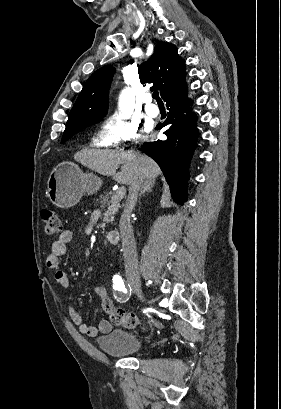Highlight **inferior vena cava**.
Returning <instances> with one entry per match:
<instances>
[{
    "label": "inferior vena cava",
    "instance_id": "602c4592",
    "mask_svg": "<svg viewBox=\"0 0 281 409\" xmlns=\"http://www.w3.org/2000/svg\"><path fill=\"white\" fill-rule=\"evenodd\" d=\"M145 174L142 170L141 162L134 164V176L131 184H129V200H136L139 190L144 182ZM130 209L124 211L120 221V235L122 239V249L124 257V265L127 281H139L138 259L136 253V243L134 239L133 229L130 223Z\"/></svg>",
    "mask_w": 281,
    "mask_h": 409
}]
</instances>
